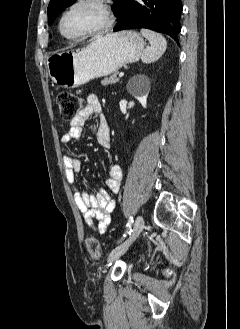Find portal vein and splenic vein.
<instances>
[{
    "label": "portal vein and splenic vein",
    "instance_id": "18ae733b",
    "mask_svg": "<svg viewBox=\"0 0 240 329\" xmlns=\"http://www.w3.org/2000/svg\"><path fill=\"white\" fill-rule=\"evenodd\" d=\"M123 76H124V73L123 72L119 73V78H121Z\"/></svg>",
    "mask_w": 240,
    "mask_h": 329
}]
</instances>
